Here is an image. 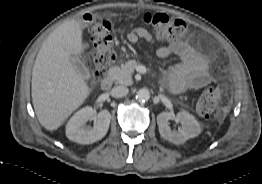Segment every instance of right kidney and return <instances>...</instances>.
<instances>
[{"instance_id": "ca27d5eb", "label": "right kidney", "mask_w": 262, "mask_h": 184, "mask_svg": "<svg viewBox=\"0 0 262 184\" xmlns=\"http://www.w3.org/2000/svg\"><path fill=\"white\" fill-rule=\"evenodd\" d=\"M111 114L108 110H101L98 114L92 107H85L77 111L66 125V136L69 140L79 144H91L102 139L109 128ZM96 120L91 128L86 122Z\"/></svg>"}]
</instances>
